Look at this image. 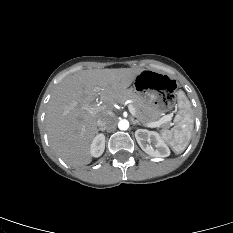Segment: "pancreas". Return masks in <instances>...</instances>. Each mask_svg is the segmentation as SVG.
Wrapping results in <instances>:
<instances>
[{
	"label": "pancreas",
	"mask_w": 233,
	"mask_h": 233,
	"mask_svg": "<svg viewBox=\"0 0 233 233\" xmlns=\"http://www.w3.org/2000/svg\"><path fill=\"white\" fill-rule=\"evenodd\" d=\"M132 100L133 107L136 111L137 119L145 126L148 123L154 122L162 115L159 111L155 110L151 105L147 104L142 98H140L135 92L127 91L124 98L121 101Z\"/></svg>",
	"instance_id": "pancreas-1"
}]
</instances>
